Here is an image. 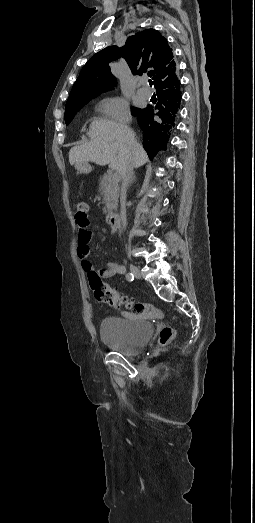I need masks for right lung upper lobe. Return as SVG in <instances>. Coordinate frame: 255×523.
<instances>
[{
  "label": "right lung upper lobe",
  "mask_w": 255,
  "mask_h": 523,
  "mask_svg": "<svg viewBox=\"0 0 255 523\" xmlns=\"http://www.w3.org/2000/svg\"><path fill=\"white\" fill-rule=\"evenodd\" d=\"M123 57L133 74H148L153 79L158 102L144 109L133 108L132 115L143 131V147L150 159L165 150L170 130L174 128L181 108L182 93L178 70L167 40L154 29L130 36L126 44L107 47L96 53L82 68L67 103L88 102L113 89L116 79L108 63Z\"/></svg>",
  "instance_id": "right-lung-upper-lobe-1"
}]
</instances>
